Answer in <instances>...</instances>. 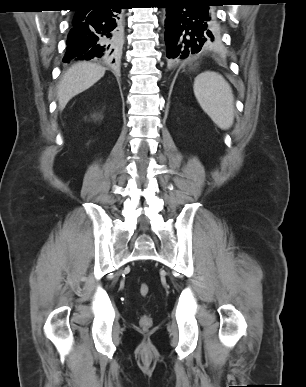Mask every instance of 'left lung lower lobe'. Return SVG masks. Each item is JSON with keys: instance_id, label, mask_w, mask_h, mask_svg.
<instances>
[{"instance_id": "0a47b994", "label": "left lung lower lobe", "mask_w": 306, "mask_h": 387, "mask_svg": "<svg viewBox=\"0 0 306 387\" xmlns=\"http://www.w3.org/2000/svg\"><path fill=\"white\" fill-rule=\"evenodd\" d=\"M166 8L165 43L170 64L202 53L215 40L216 0H163Z\"/></svg>"}]
</instances>
